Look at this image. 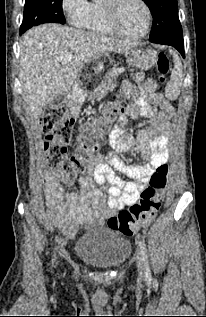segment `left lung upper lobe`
I'll return each instance as SVG.
<instances>
[{"label": "left lung upper lobe", "mask_w": 206, "mask_h": 317, "mask_svg": "<svg viewBox=\"0 0 206 317\" xmlns=\"http://www.w3.org/2000/svg\"><path fill=\"white\" fill-rule=\"evenodd\" d=\"M151 10L153 26L149 40L154 43L183 42L177 0H143Z\"/></svg>", "instance_id": "1"}]
</instances>
